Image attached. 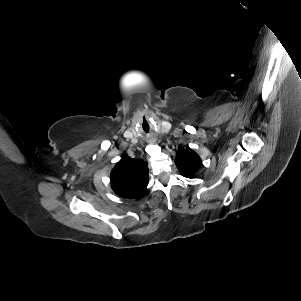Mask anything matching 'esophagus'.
Instances as JSON below:
<instances>
[{
	"instance_id": "1",
	"label": "esophagus",
	"mask_w": 301,
	"mask_h": 301,
	"mask_svg": "<svg viewBox=\"0 0 301 301\" xmlns=\"http://www.w3.org/2000/svg\"><path fill=\"white\" fill-rule=\"evenodd\" d=\"M150 143H155V140H154V139H153V140H151V141H150Z\"/></svg>"
}]
</instances>
